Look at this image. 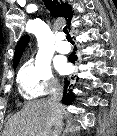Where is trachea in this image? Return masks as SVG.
I'll return each instance as SVG.
<instances>
[{"label":"trachea","mask_w":117,"mask_h":136,"mask_svg":"<svg viewBox=\"0 0 117 136\" xmlns=\"http://www.w3.org/2000/svg\"><path fill=\"white\" fill-rule=\"evenodd\" d=\"M63 32L65 33L67 40H68V41H72V37H71V35L69 34V31H68L67 26H65V27L63 28Z\"/></svg>","instance_id":"3493384b"}]
</instances>
